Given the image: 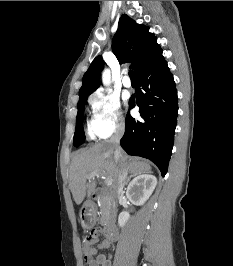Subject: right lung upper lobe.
I'll return each instance as SVG.
<instances>
[{"label": "right lung upper lobe", "mask_w": 233, "mask_h": 266, "mask_svg": "<svg viewBox=\"0 0 233 266\" xmlns=\"http://www.w3.org/2000/svg\"><path fill=\"white\" fill-rule=\"evenodd\" d=\"M112 51L121 64L130 62L136 75L162 55L157 38L149 32V28L136 24L127 15H122L119 19ZM103 67L102 57L97 56L83 76L79 99L88 97L99 87V75Z\"/></svg>", "instance_id": "cb5924a9"}]
</instances>
